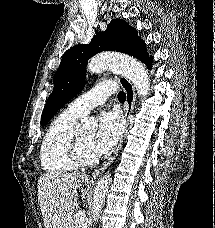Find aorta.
<instances>
[{
	"label": "aorta",
	"mask_w": 215,
	"mask_h": 228,
	"mask_svg": "<svg viewBox=\"0 0 215 228\" xmlns=\"http://www.w3.org/2000/svg\"><path fill=\"white\" fill-rule=\"evenodd\" d=\"M112 68H119V70L129 78L134 88H136L139 98H146V96H148L150 88L148 72L137 60H133V58H122V56L119 58V56H115V54L106 52V54L95 56V58L89 60L87 64V70L91 72V74H98V72L112 70ZM110 180L109 174H106V176L98 180L94 190L91 214L95 224L100 220L106 192L110 186Z\"/></svg>",
	"instance_id": "762f6f07"
}]
</instances>
